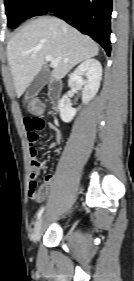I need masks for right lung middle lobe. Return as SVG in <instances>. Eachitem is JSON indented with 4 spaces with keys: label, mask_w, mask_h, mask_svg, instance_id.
I'll use <instances>...</instances> for the list:
<instances>
[{
    "label": "right lung middle lobe",
    "mask_w": 134,
    "mask_h": 281,
    "mask_svg": "<svg viewBox=\"0 0 134 281\" xmlns=\"http://www.w3.org/2000/svg\"><path fill=\"white\" fill-rule=\"evenodd\" d=\"M38 0H5L8 26L16 28L22 21L30 18Z\"/></svg>",
    "instance_id": "dd1d6c3e"
}]
</instances>
